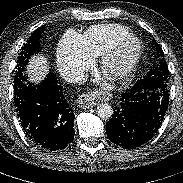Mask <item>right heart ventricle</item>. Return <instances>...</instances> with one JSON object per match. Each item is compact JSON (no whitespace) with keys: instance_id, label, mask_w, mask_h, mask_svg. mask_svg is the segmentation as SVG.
I'll return each mask as SVG.
<instances>
[{"instance_id":"obj_1","label":"right heart ventricle","mask_w":183,"mask_h":183,"mask_svg":"<svg viewBox=\"0 0 183 183\" xmlns=\"http://www.w3.org/2000/svg\"><path fill=\"white\" fill-rule=\"evenodd\" d=\"M133 33L121 25H98L89 28L80 39L84 50L93 57L101 56L120 42L133 38Z\"/></svg>"}]
</instances>
